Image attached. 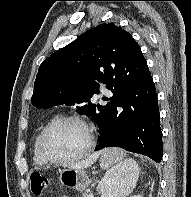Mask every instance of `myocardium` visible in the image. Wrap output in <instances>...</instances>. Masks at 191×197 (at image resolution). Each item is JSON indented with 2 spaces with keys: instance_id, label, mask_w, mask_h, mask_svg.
Instances as JSON below:
<instances>
[{
  "instance_id": "myocardium-1",
  "label": "myocardium",
  "mask_w": 191,
  "mask_h": 197,
  "mask_svg": "<svg viewBox=\"0 0 191 197\" xmlns=\"http://www.w3.org/2000/svg\"><path fill=\"white\" fill-rule=\"evenodd\" d=\"M66 121H75L80 123L85 127L88 134V143L86 147L79 153L70 156V157H64V158H58L52 156L45 147V138L48 132L57 124L66 122ZM96 144V138H95V131L93 126L83 117L76 115V114H67V115H60L55 118H53L51 121H49L41 130L38 138V150L41 155V157L51 164H64L69 163L72 161L79 160L86 156L95 146Z\"/></svg>"
}]
</instances>
